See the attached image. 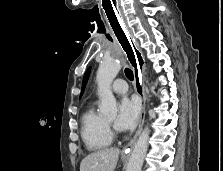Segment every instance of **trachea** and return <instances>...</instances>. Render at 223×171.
<instances>
[{
  "label": "trachea",
  "mask_w": 223,
  "mask_h": 171,
  "mask_svg": "<svg viewBox=\"0 0 223 171\" xmlns=\"http://www.w3.org/2000/svg\"><path fill=\"white\" fill-rule=\"evenodd\" d=\"M110 40L112 41L111 38H110ZM125 75H126V77H127L130 81H133L134 76H133V72H132L131 69H129V68H125Z\"/></svg>",
  "instance_id": "1"
}]
</instances>
